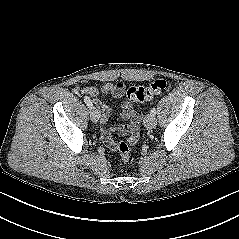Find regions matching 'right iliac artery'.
<instances>
[{
  "instance_id": "1",
  "label": "right iliac artery",
  "mask_w": 239,
  "mask_h": 239,
  "mask_svg": "<svg viewBox=\"0 0 239 239\" xmlns=\"http://www.w3.org/2000/svg\"><path fill=\"white\" fill-rule=\"evenodd\" d=\"M84 102L87 104L89 108H92L93 104L88 96L84 97Z\"/></svg>"
}]
</instances>
